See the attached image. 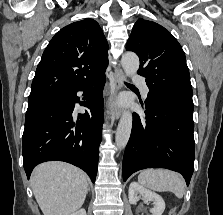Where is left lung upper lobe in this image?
<instances>
[{
  "label": "left lung upper lobe",
  "mask_w": 223,
  "mask_h": 215,
  "mask_svg": "<svg viewBox=\"0 0 223 215\" xmlns=\"http://www.w3.org/2000/svg\"><path fill=\"white\" fill-rule=\"evenodd\" d=\"M140 59L138 74L150 92L193 105L192 86L184 51L161 25L139 19L126 44Z\"/></svg>",
  "instance_id": "1"
}]
</instances>
